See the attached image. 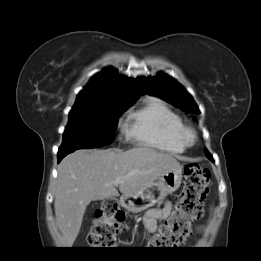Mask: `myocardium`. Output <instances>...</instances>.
I'll return each instance as SVG.
<instances>
[{
    "label": "myocardium",
    "instance_id": "f54148a6",
    "mask_svg": "<svg viewBox=\"0 0 261 261\" xmlns=\"http://www.w3.org/2000/svg\"><path fill=\"white\" fill-rule=\"evenodd\" d=\"M181 139L185 146H193L197 140L195 130L189 126H183L181 129Z\"/></svg>",
    "mask_w": 261,
    "mask_h": 261
}]
</instances>
